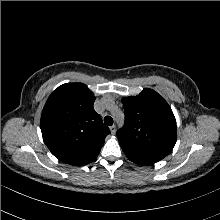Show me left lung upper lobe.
Masks as SVG:
<instances>
[{
	"mask_svg": "<svg viewBox=\"0 0 220 220\" xmlns=\"http://www.w3.org/2000/svg\"><path fill=\"white\" fill-rule=\"evenodd\" d=\"M125 124L117 131L125 155L140 165L154 164L175 146L177 127L168 103L157 92L145 88L137 96L122 99Z\"/></svg>",
	"mask_w": 220,
	"mask_h": 220,
	"instance_id": "1",
	"label": "left lung upper lobe"
}]
</instances>
